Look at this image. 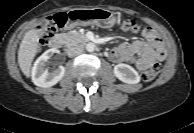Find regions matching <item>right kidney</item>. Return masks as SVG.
<instances>
[{
    "label": "right kidney",
    "mask_w": 194,
    "mask_h": 133,
    "mask_svg": "<svg viewBox=\"0 0 194 133\" xmlns=\"http://www.w3.org/2000/svg\"><path fill=\"white\" fill-rule=\"evenodd\" d=\"M56 52L55 49L45 51L34 63L32 68L31 77L32 82L39 87L47 88L57 84L64 76L65 68L59 66L52 72L46 68L47 61Z\"/></svg>",
    "instance_id": "ca27d5eb"
}]
</instances>
